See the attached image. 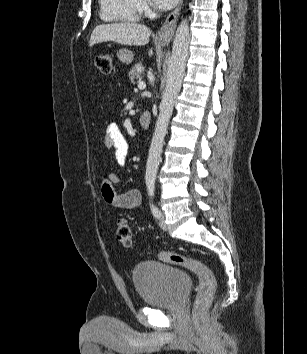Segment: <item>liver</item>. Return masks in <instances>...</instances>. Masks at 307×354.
<instances>
[{
    "label": "liver",
    "instance_id": "1",
    "mask_svg": "<svg viewBox=\"0 0 307 354\" xmlns=\"http://www.w3.org/2000/svg\"><path fill=\"white\" fill-rule=\"evenodd\" d=\"M151 31L138 23H112L97 26L90 37V47L103 42H116L122 45L143 46L148 44ZM153 55V49L149 56Z\"/></svg>",
    "mask_w": 307,
    "mask_h": 354
}]
</instances>
